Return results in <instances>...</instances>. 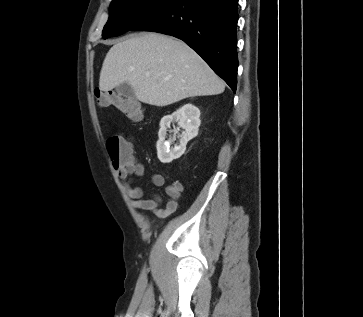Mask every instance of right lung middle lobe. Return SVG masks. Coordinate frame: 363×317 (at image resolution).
<instances>
[{"label": "right lung middle lobe", "mask_w": 363, "mask_h": 317, "mask_svg": "<svg viewBox=\"0 0 363 317\" xmlns=\"http://www.w3.org/2000/svg\"><path fill=\"white\" fill-rule=\"evenodd\" d=\"M177 0H113L109 20L104 26L103 39L118 36L151 16L169 7Z\"/></svg>", "instance_id": "1"}]
</instances>
